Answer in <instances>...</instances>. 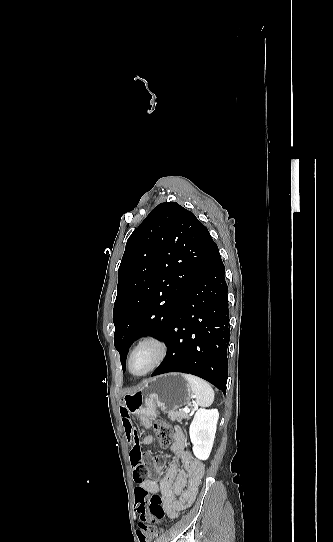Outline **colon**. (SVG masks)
I'll return each mask as SVG.
<instances>
[{
	"instance_id": "obj_1",
	"label": "colon",
	"mask_w": 333,
	"mask_h": 542,
	"mask_svg": "<svg viewBox=\"0 0 333 542\" xmlns=\"http://www.w3.org/2000/svg\"><path fill=\"white\" fill-rule=\"evenodd\" d=\"M152 428L161 446L169 447L174 443L173 430L168 423L158 420L153 423ZM130 465L134 468V476L139 482H143L152 474L149 464L141 462L138 458L132 459ZM155 469H157L156 465ZM135 500L138 503L139 513L136 512L131 517V522L139 523V533L144 534L145 537H154L158 532V523L166 517L161 498L158 495L148 496L145 487L139 484L136 487Z\"/></svg>"
}]
</instances>
